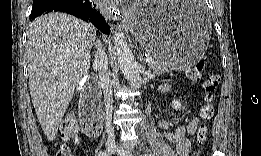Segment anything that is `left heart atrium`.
<instances>
[{"label":"left heart atrium","mask_w":261,"mask_h":156,"mask_svg":"<svg viewBox=\"0 0 261 156\" xmlns=\"http://www.w3.org/2000/svg\"><path fill=\"white\" fill-rule=\"evenodd\" d=\"M105 3V6H107L108 2H104Z\"/></svg>","instance_id":"1"}]
</instances>
